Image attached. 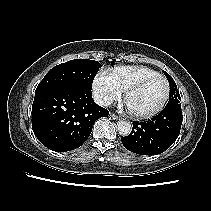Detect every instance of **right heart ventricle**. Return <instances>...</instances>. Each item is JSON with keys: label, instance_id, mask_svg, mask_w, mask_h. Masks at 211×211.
<instances>
[{"label": "right heart ventricle", "instance_id": "obj_1", "mask_svg": "<svg viewBox=\"0 0 211 211\" xmlns=\"http://www.w3.org/2000/svg\"><path fill=\"white\" fill-rule=\"evenodd\" d=\"M111 75L121 91L124 92L127 88L141 79L148 76L159 75V73L156 70L146 66L125 65L112 69Z\"/></svg>", "mask_w": 211, "mask_h": 211}]
</instances>
